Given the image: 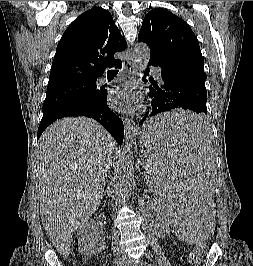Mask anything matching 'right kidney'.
Segmentation results:
<instances>
[{
  "instance_id": "right-kidney-1",
  "label": "right kidney",
  "mask_w": 253,
  "mask_h": 266,
  "mask_svg": "<svg viewBox=\"0 0 253 266\" xmlns=\"http://www.w3.org/2000/svg\"><path fill=\"white\" fill-rule=\"evenodd\" d=\"M78 248L85 256H94L105 246V238L93 220H86L77 229Z\"/></svg>"
}]
</instances>
